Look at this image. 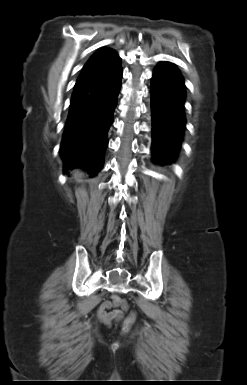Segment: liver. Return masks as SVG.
<instances>
[{"mask_svg":"<svg viewBox=\"0 0 247 385\" xmlns=\"http://www.w3.org/2000/svg\"><path fill=\"white\" fill-rule=\"evenodd\" d=\"M75 175L81 176V174H80V173H78V172H77V173H75Z\"/></svg>","mask_w":247,"mask_h":385,"instance_id":"6515ba94","label":"liver"}]
</instances>
